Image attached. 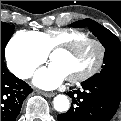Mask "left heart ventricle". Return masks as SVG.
<instances>
[{
	"label": "left heart ventricle",
	"mask_w": 121,
	"mask_h": 121,
	"mask_svg": "<svg viewBox=\"0 0 121 121\" xmlns=\"http://www.w3.org/2000/svg\"><path fill=\"white\" fill-rule=\"evenodd\" d=\"M98 56V49L95 45H87L77 54L57 52L52 55L51 64L57 67L65 76L70 78L81 74L91 67Z\"/></svg>",
	"instance_id": "b2bd125f"
}]
</instances>
